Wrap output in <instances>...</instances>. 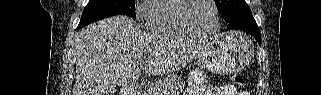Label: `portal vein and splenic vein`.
Listing matches in <instances>:
<instances>
[{
    "label": "portal vein and splenic vein",
    "instance_id": "18ae733b",
    "mask_svg": "<svg viewBox=\"0 0 321 95\" xmlns=\"http://www.w3.org/2000/svg\"><path fill=\"white\" fill-rule=\"evenodd\" d=\"M145 62L143 60L140 61L139 65L144 66Z\"/></svg>",
    "mask_w": 321,
    "mask_h": 95
}]
</instances>
